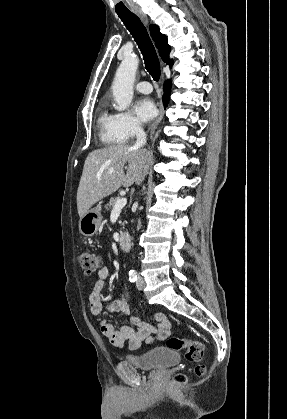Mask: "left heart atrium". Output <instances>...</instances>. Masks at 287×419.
I'll use <instances>...</instances> for the list:
<instances>
[{
  "instance_id": "left-heart-atrium-1",
  "label": "left heart atrium",
  "mask_w": 287,
  "mask_h": 419,
  "mask_svg": "<svg viewBox=\"0 0 287 419\" xmlns=\"http://www.w3.org/2000/svg\"><path fill=\"white\" fill-rule=\"evenodd\" d=\"M134 111L137 117L143 122L151 120L156 114L155 105L149 98L138 100L134 105Z\"/></svg>"
}]
</instances>
